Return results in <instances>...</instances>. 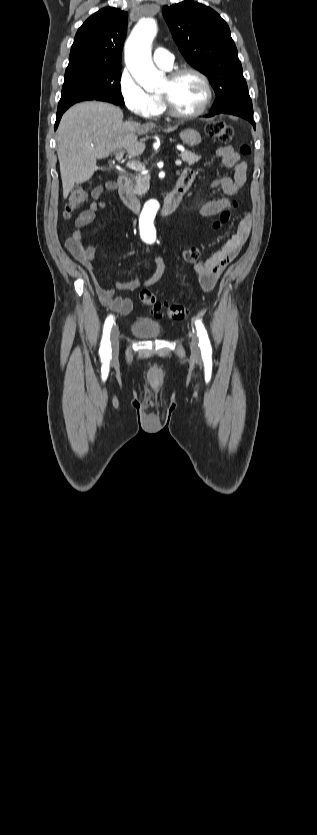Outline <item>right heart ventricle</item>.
I'll list each match as a JSON object with an SVG mask.
<instances>
[{
  "label": "right heart ventricle",
  "instance_id": "e07e8e85",
  "mask_svg": "<svg viewBox=\"0 0 317 835\" xmlns=\"http://www.w3.org/2000/svg\"><path fill=\"white\" fill-rule=\"evenodd\" d=\"M154 97L158 102V107H159L158 114H161L165 111V105H164V103H163V101H162V99L160 98L159 95H154Z\"/></svg>",
  "mask_w": 317,
  "mask_h": 835
}]
</instances>
